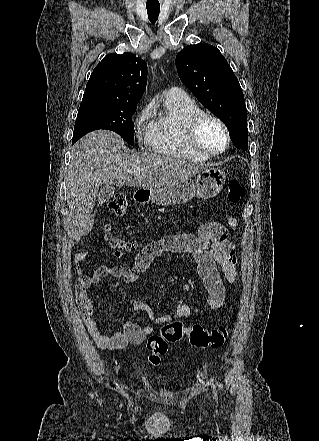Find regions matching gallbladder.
Returning <instances> with one entry per match:
<instances>
[{
    "label": "gallbladder",
    "mask_w": 319,
    "mask_h": 441,
    "mask_svg": "<svg viewBox=\"0 0 319 441\" xmlns=\"http://www.w3.org/2000/svg\"><path fill=\"white\" fill-rule=\"evenodd\" d=\"M115 188L112 185H106L101 188L98 196V203L103 204L109 201L114 195Z\"/></svg>",
    "instance_id": "gallbladder-1"
}]
</instances>
